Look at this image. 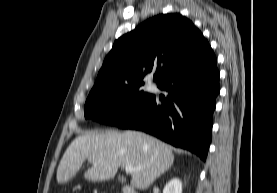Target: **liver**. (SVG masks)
I'll return each mask as SVG.
<instances>
[{
  "label": "liver",
  "mask_w": 277,
  "mask_h": 193,
  "mask_svg": "<svg viewBox=\"0 0 277 193\" xmlns=\"http://www.w3.org/2000/svg\"><path fill=\"white\" fill-rule=\"evenodd\" d=\"M85 160L92 164L84 177L90 181L109 180L119 167L132 166L131 186L147 189L174 162L171 146L138 131H90L73 140L58 169L57 182L67 183Z\"/></svg>",
  "instance_id": "1"
}]
</instances>
